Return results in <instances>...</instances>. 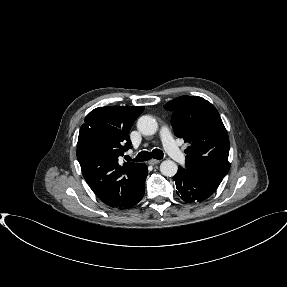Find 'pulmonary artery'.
<instances>
[{"instance_id": "e3ab8cb5", "label": "pulmonary artery", "mask_w": 287, "mask_h": 287, "mask_svg": "<svg viewBox=\"0 0 287 287\" xmlns=\"http://www.w3.org/2000/svg\"><path fill=\"white\" fill-rule=\"evenodd\" d=\"M160 135L162 138L163 146L168 155L178 163L183 162L185 160V154L176 145L169 127L163 125L160 129Z\"/></svg>"}]
</instances>
